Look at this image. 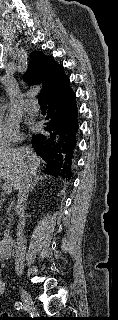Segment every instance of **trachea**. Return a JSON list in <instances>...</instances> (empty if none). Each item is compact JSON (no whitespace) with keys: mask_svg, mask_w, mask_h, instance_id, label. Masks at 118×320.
I'll return each instance as SVG.
<instances>
[{"mask_svg":"<svg viewBox=\"0 0 118 320\" xmlns=\"http://www.w3.org/2000/svg\"><path fill=\"white\" fill-rule=\"evenodd\" d=\"M38 103L40 104L41 107H47V104L43 98H40Z\"/></svg>","mask_w":118,"mask_h":320,"instance_id":"3493384b","label":"trachea"}]
</instances>
